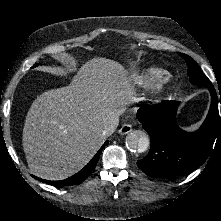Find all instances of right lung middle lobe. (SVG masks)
I'll return each mask as SVG.
<instances>
[{
    "mask_svg": "<svg viewBox=\"0 0 221 221\" xmlns=\"http://www.w3.org/2000/svg\"><path fill=\"white\" fill-rule=\"evenodd\" d=\"M37 66V64H35L33 67H36Z\"/></svg>",
    "mask_w": 221,
    "mask_h": 221,
    "instance_id": "dd1d6c3e",
    "label": "right lung middle lobe"
}]
</instances>
